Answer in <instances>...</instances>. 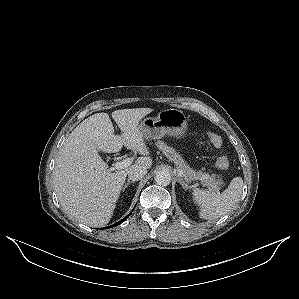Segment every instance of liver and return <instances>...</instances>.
Here are the masks:
<instances>
[{"label": "liver", "instance_id": "liver-1", "mask_svg": "<svg viewBox=\"0 0 299 299\" xmlns=\"http://www.w3.org/2000/svg\"><path fill=\"white\" fill-rule=\"evenodd\" d=\"M151 108L121 109L112 118L122 131L118 136L107 113H96L82 121L68 136L56 159L54 190L63 211L83 224H107L116 206L129 169L134 165L151 168L152 159L139 129ZM123 145L143 157L125 169L108 168L99 151L116 153Z\"/></svg>", "mask_w": 299, "mask_h": 299}]
</instances>
